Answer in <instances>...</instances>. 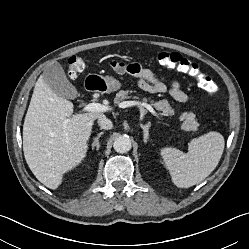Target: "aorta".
<instances>
[{
	"mask_svg": "<svg viewBox=\"0 0 249 249\" xmlns=\"http://www.w3.org/2000/svg\"><path fill=\"white\" fill-rule=\"evenodd\" d=\"M113 147L118 153H127L130 151L132 143L127 135H121L115 139Z\"/></svg>",
	"mask_w": 249,
	"mask_h": 249,
	"instance_id": "aorta-1",
	"label": "aorta"
}]
</instances>
